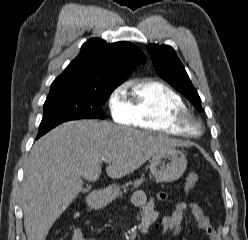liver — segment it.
Returning <instances> with one entry per match:
<instances>
[{
	"instance_id": "6515ba94",
	"label": "liver",
	"mask_w": 248,
	"mask_h": 240,
	"mask_svg": "<svg viewBox=\"0 0 248 240\" xmlns=\"http://www.w3.org/2000/svg\"><path fill=\"white\" fill-rule=\"evenodd\" d=\"M185 143L162 135L97 120L63 123L34 144L22 184L24 226L28 240H45L50 228L82 190L96 181L102 161L112 179L122 178L158 153Z\"/></svg>"
}]
</instances>
